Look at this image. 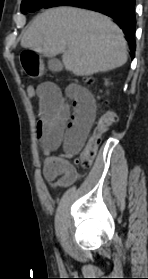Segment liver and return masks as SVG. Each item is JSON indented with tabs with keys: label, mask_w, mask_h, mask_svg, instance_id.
I'll return each mask as SVG.
<instances>
[{
	"label": "liver",
	"mask_w": 148,
	"mask_h": 279,
	"mask_svg": "<svg viewBox=\"0 0 148 279\" xmlns=\"http://www.w3.org/2000/svg\"><path fill=\"white\" fill-rule=\"evenodd\" d=\"M21 46L44 56L62 54L65 69L89 76L123 66L127 42L110 18L73 7L51 8L37 16Z\"/></svg>",
	"instance_id": "6515ba94"
}]
</instances>
